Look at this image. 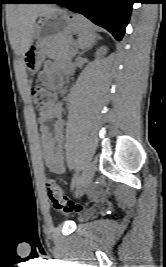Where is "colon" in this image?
<instances>
[{
	"mask_svg": "<svg viewBox=\"0 0 166 267\" xmlns=\"http://www.w3.org/2000/svg\"><path fill=\"white\" fill-rule=\"evenodd\" d=\"M31 97L38 111L48 109L55 104L56 101L55 94L42 85L32 86ZM46 190L49 200L52 202L55 209L65 213L80 211L82 209L81 204L74 203L65 196L62 188L54 180L49 179L46 182Z\"/></svg>",
	"mask_w": 166,
	"mask_h": 267,
	"instance_id": "5ec220e1",
	"label": "colon"
}]
</instances>
